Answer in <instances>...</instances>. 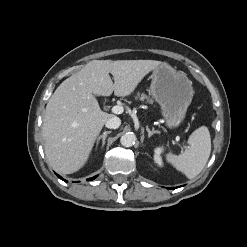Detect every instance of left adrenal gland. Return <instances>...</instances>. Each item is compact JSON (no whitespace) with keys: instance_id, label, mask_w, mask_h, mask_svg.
Instances as JSON below:
<instances>
[{"instance_id":"obj_1","label":"left adrenal gland","mask_w":247,"mask_h":247,"mask_svg":"<svg viewBox=\"0 0 247 247\" xmlns=\"http://www.w3.org/2000/svg\"><path fill=\"white\" fill-rule=\"evenodd\" d=\"M146 131L148 132V137H149V138H150L152 135H154V134H159V133H160L159 131L155 130L154 128H153L152 130H150V129L148 128V126H146Z\"/></svg>"}]
</instances>
